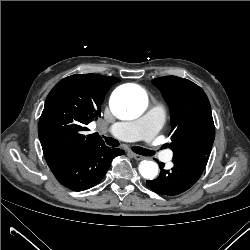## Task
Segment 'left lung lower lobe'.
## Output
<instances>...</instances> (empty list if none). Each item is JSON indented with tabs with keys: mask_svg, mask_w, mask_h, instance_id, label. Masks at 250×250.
I'll list each match as a JSON object with an SVG mask.
<instances>
[{
	"mask_svg": "<svg viewBox=\"0 0 250 250\" xmlns=\"http://www.w3.org/2000/svg\"><path fill=\"white\" fill-rule=\"evenodd\" d=\"M208 158V156H188L173 159L174 167L170 171L163 169L164 164L159 162L161 166L160 175L155 180L146 181V183L160 195H178L197 182Z\"/></svg>",
	"mask_w": 250,
	"mask_h": 250,
	"instance_id": "0a47b994",
	"label": "left lung lower lobe"
}]
</instances>
